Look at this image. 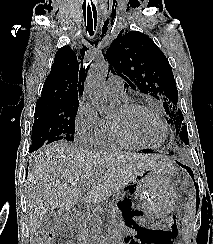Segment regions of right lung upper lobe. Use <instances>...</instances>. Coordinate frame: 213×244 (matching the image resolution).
I'll return each mask as SVG.
<instances>
[{"label": "right lung upper lobe", "instance_id": "obj_1", "mask_svg": "<svg viewBox=\"0 0 213 244\" xmlns=\"http://www.w3.org/2000/svg\"><path fill=\"white\" fill-rule=\"evenodd\" d=\"M83 60L77 61L74 51L67 45L60 48L54 58L51 72L45 80L41 97L37 100L79 101L83 94Z\"/></svg>", "mask_w": 213, "mask_h": 244}]
</instances>
